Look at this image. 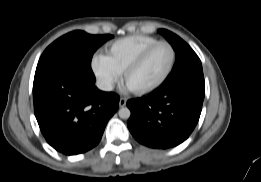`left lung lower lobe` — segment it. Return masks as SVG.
<instances>
[{"label": "left lung lower lobe", "mask_w": 261, "mask_h": 182, "mask_svg": "<svg viewBox=\"0 0 261 182\" xmlns=\"http://www.w3.org/2000/svg\"><path fill=\"white\" fill-rule=\"evenodd\" d=\"M204 95V77H196L129 100L128 128L139 143L148 147L177 146L189 137L198 123Z\"/></svg>", "instance_id": "left-lung-lower-lobe-1"}]
</instances>
